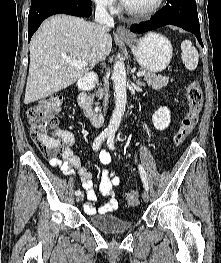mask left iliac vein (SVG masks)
<instances>
[{"mask_svg": "<svg viewBox=\"0 0 221 263\" xmlns=\"http://www.w3.org/2000/svg\"><path fill=\"white\" fill-rule=\"evenodd\" d=\"M142 198L145 202H148L149 200V194L147 191H144L143 194H142Z\"/></svg>", "mask_w": 221, "mask_h": 263, "instance_id": "obj_1", "label": "left iliac vein"}]
</instances>
